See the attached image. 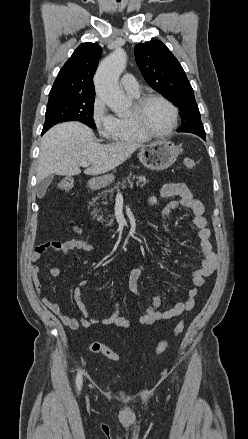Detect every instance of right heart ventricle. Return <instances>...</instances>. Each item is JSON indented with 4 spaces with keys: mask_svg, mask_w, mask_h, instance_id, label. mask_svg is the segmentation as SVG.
Returning <instances> with one entry per match:
<instances>
[{
    "mask_svg": "<svg viewBox=\"0 0 248 439\" xmlns=\"http://www.w3.org/2000/svg\"><path fill=\"white\" fill-rule=\"evenodd\" d=\"M138 97V95H133ZM111 139L117 143H143L149 137L141 133L133 124L130 115L119 116Z\"/></svg>",
    "mask_w": 248,
    "mask_h": 439,
    "instance_id": "obj_1",
    "label": "right heart ventricle"
}]
</instances>
